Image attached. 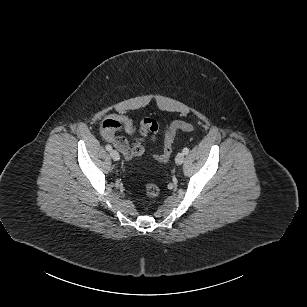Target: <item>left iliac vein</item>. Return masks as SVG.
I'll return each mask as SVG.
<instances>
[{
	"instance_id": "1",
	"label": "left iliac vein",
	"mask_w": 307,
	"mask_h": 307,
	"mask_svg": "<svg viewBox=\"0 0 307 307\" xmlns=\"http://www.w3.org/2000/svg\"><path fill=\"white\" fill-rule=\"evenodd\" d=\"M185 154L180 152L176 155L175 162L177 165H181L184 162Z\"/></svg>"
}]
</instances>
